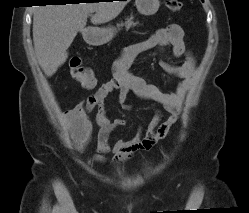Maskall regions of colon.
Instances as JSON below:
<instances>
[{
    "label": "colon",
    "mask_w": 249,
    "mask_h": 213,
    "mask_svg": "<svg viewBox=\"0 0 249 213\" xmlns=\"http://www.w3.org/2000/svg\"><path fill=\"white\" fill-rule=\"evenodd\" d=\"M166 6L173 12H178L182 9L180 0H166ZM70 73L72 78L84 88H91L95 85L96 79L88 67H85L79 57H72L69 60Z\"/></svg>",
    "instance_id": "obj_1"
}]
</instances>
